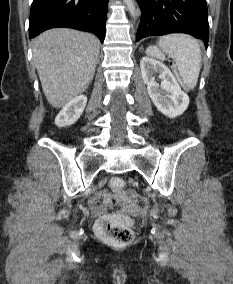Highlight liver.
Masks as SVG:
<instances>
[{
  "instance_id": "6515ba94",
  "label": "liver",
  "mask_w": 233,
  "mask_h": 284,
  "mask_svg": "<svg viewBox=\"0 0 233 284\" xmlns=\"http://www.w3.org/2000/svg\"><path fill=\"white\" fill-rule=\"evenodd\" d=\"M100 42L92 34L56 28L33 41V59L49 104L61 108L93 79Z\"/></svg>"
}]
</instances>
